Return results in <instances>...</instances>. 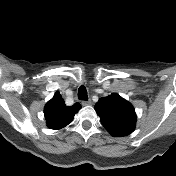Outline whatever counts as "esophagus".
Wrapping results in <instances>:
<instances>
[{"instance_id": "34e87169", "label": "esophagus", "mask_w": 176, "mask_h": 176, "mask_svg": "<svg viewBox=\"0 0 176 176\" xmlns=\"http://www.w3.org/2000/svg\"><path fill=\"white\" fill-rule=\"evenodd\" d=\"M91 104H92L91 100L82 101L83 106H89Z\"/></svg>"}]
</instances>
